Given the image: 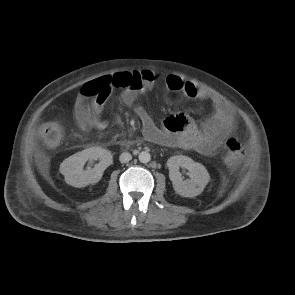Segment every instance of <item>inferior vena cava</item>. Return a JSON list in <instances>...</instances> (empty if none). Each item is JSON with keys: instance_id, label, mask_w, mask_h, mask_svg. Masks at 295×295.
Returning a JSON list of instances; mask_svg holds the SVG:
<instances>
[{"instance_id": "1", "label": "inferior vena cava", "mask_w": 295, "mask_h": 295, "mask_svg": "<svg viewBox=\"0 0 295 295\" xmlns=\"http://www.w3.org/2000/svg\"><path fill=\"white\" fill-rule=\"evenodd\" d=\"M132 159V156L130 153L128 152H123L120 157H119V160L121 163H127L129 162L130 160Z\"/></svg>"}]
</instances>
